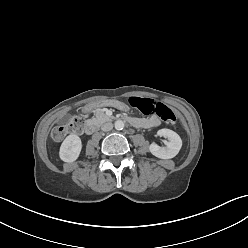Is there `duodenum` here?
<instances>
[{
	"label": "duodenum",
	"instance_id": "obj_1",
	"mask_svg": "<svg viewBox=\"0 0 248 248\" xmlns=\"http://www.w3.org/2000/svg\"><path fill=\"white\" fill-rule=\"evenodd\" d=\"M92 108H95V104H93V105H91V106L85 108L84 112H85V113H88ZM127 121H128L130 124L134 125V126H137V125L139 124L138 119L128 118ZM96 127H97L96 122H94V121H89V122H87V123L85 124V126H84V131H85V133H87V134H92V133L96 130Z\"/></svg>",
	"mask_w": 248,
	"mask_h": 248
}]
</instances>
